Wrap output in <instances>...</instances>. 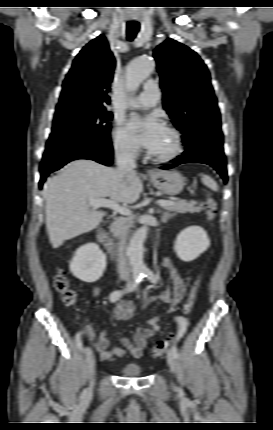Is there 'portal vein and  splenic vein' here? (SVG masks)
<instances>
[{"instance_id": "1", "label": "portal vein and splenic vein", "mask_w": 273, "mask_h": 430, "mask_svg": "<svg viewBox=\"0 0 273 430\" xmlns=\"http://www.w3.org/2000/svg\"><path fill=\"white\" fill-rule=\"evenodd\" d=\"M157 203L162 206H170V205H174V201H169V200H158ZM88 204L94 208H99V207H108L113 209L115 212H118L122 215H131V210L115 203L114 201L108 200V199H104V198H100V199H90Z\"/></svg>"}]
</instances>
